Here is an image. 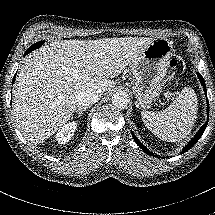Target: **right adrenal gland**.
I'll return each mask as SVG.
<instances>
[{
	"label": "right adrenal gland",
	"instance_id": "right-adrenal-gland-1",
	"mask_svg": "<svg viewBox=\"0 0 215 215\" xmlns=\"http://www.w3.org/2000/svg\"><path fill=\"white\" fill-rule=\"evenodd\" d=\"M84 111H85V109H83V108H78V109L76 110V113L78 114V117H81V116L83 115Z\"/></svg>",
	"mask_w": 215,
	"mask_h": 215
}]
</instances>
